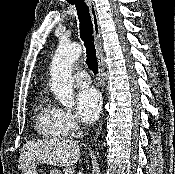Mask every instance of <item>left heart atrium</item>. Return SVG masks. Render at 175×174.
Returning a JSON list of instances; mask_svg holds the SVG:
<instances>
[{"label": "left heart atrium", "mask_w": 175, "mask_h": 174, "mask_svg": "<svg viewBox=\"0 0 175 174\" xmlns=\"http://www.w3.org/2000/svg\"><path fill=\"white\" fill-rule=\"evenodd\" d=\"M77 113L85 123L94 122L101 111L102 100L99 92L94 88H84L77 93Z\"/></svg>", "instance_id": "1"}]
</instances>
